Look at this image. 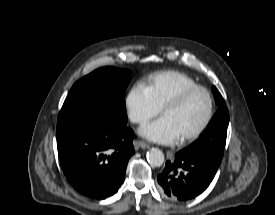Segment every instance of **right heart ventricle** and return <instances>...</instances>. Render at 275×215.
<instances>
[{
  "label": "right heart ventricle",
  "mask_w": 275,
  "mask_h": 215,
  "mask_svg": "<svg viewBox=\"0 0 275 215\" xmlns=\"http://www.w3.org/2000/svg\"><path fill=\"white\" fill-rule=\"evenodd\" d=\"M194 85L197 84L191 77L179 71H162L151 74L145 84L160 109L182 89Z\"/></svg>",
  "instance_id": "e07e8e85"
}]
</instances>
